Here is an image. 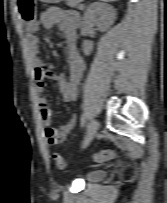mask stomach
<instances>
[{"instance_id": "stomach-1", "label": "stomach", "mask_w": 167, "mask_h": 203, "mask_svg": "<svg viewBox=\"0 0 167 203\" xmlns=\"http://www.w3.org/2000/svg\"><path fill=\"white\" fill-rule=\"evenodd\" d=\"M41 2L49 3V4H56L62 2L64 0H40Z\"/></svg>"}]
</instances>
